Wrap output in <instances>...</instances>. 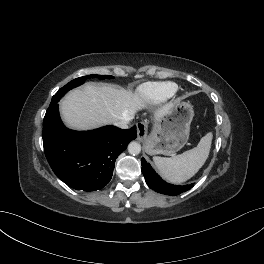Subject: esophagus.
<instances>
[{
  "label": "esophagus",
  "mask_w": 264,
  "mask_h": 264,
  "mask_svg": "<svg viewBox=\"0 0 264 264\" xmlns=\"http://www.w3.org/2000/svg\"><path fill=\"white\" fill-rule=\"evenodd\" d=\"M148 133L147 122H139L137 123V137L139 141H143L146 139Z\"/></svg>",
  "instance_id": "34e87169"
}]
</instances>
